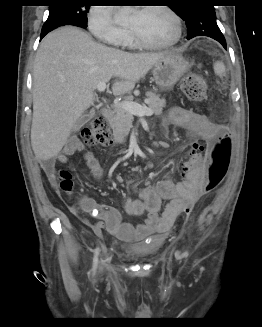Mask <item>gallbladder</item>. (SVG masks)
<instances>
[{
	"label": "gallbladder",
	"instance_id": "gallbladder-1",
	"mask_svg": "<svg viewBox=\"0 0 262 327\" xmlns=\"http://www.w3.org/2000/svg\"><path fill=\"white\" fill-rule=\"evenodd\" d=\"M91 118H92L91 113L82 114V116H80L74 123L73 130L74 131L79 130L83 125L89 122Z\"/></svg>",
	"mask_w": 262,
	"mask_h": 327
}]
</instances>
